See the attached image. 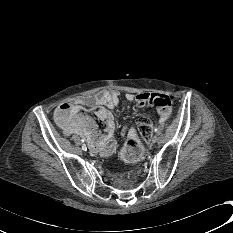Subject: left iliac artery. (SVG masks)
I'll use <instances>...</instances> for the list:
<instances>
[{"instance_id":"left-iliac-artery-1","label":"left iliac artery","mask_w":233,"mask_h":233,"mask_svg":"<svg viewBox=\"0 0 233 233\" xmlns=\"http://www.w3.org/2000/svg\"><path fill=\"white\" fill-rule=\"evenodd\" d=\"M154 132H156V133H157V132H158V128H155V129H154Z\"/></svg>"}]
</instances>
